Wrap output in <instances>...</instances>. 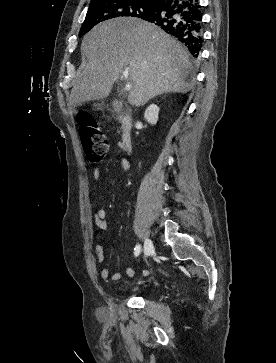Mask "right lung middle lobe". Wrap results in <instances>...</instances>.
<instances>
[{"instance_id":"obj_1","label":"right lung middle lobe","mask_w":276,"mask_h":363,"mask_svg":"<svg viewBox=\"0 0 276 363\" xmlns=\"http://www.w3.org/2000/svg\"><path fill=\"white\" fill-rule=\"evenodd\" d=\"M156 10L157 6L137 0H100L90 3L79 36L84 35L95 25L105 20L124 16L146 20L152 17Z\"/></svg>"}]
</instances>
